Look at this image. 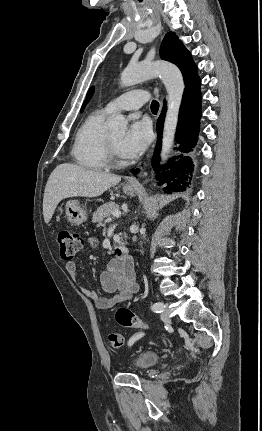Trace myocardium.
<instances>
[{"instance_id":"f54148a6","label":"myocardium","mask_w":262,"mask_h":431,"mask_svg":"<svg viewBox=\"0 0 262 431\" xmlns=\"http://www.w3.org/2000/svg\"><path fill=\"white\" fill-rule=\"evenodd\" d=\"M107 158L113 167H122L126 161L120 156L115 144L112 142L110 135L107 137Z\"/></svg>"}]
</instances>
